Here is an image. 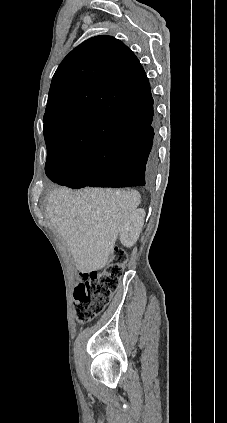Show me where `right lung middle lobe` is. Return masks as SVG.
<instances>
[{"instance_id": "1", "label": "right lung middle lobe", "mask_w": 227, "mask_h": 423, "mask_svg": "<svg viewBox=\"0 0 227 423\" xmlns=\"http://www.w3.org/2000/svg\"><path fill=\"white\" fill-rule=\"evenodd\" d=\"M47 146V161L46 163H50L52 161H77L83 157L84 151L75 150L72 148H68L61 144H57L54 142H46Z\"/></svg>"}]
</instances>
